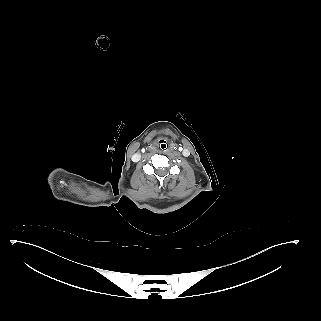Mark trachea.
Listing matches in <instances>:
<instances>
[{"instance_id":"3493384b","label":"trachea","mask_w":321,"mask_h":321,"mask_svg":"<svg viewBox=\"0 0 321 321\" xmlns=\"http://www.w3.org/2000/svg\"><path fill=\"white\" fill-rule=\"evenodd\" d=\"M160 150H161V151H166V150H167V145H166L165 143H162V144L160 145Z\"/></svg>"}]
</instances>
